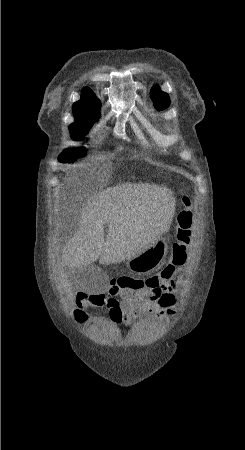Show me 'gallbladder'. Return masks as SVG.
Listing matches in <instances>:
<instances>
[{
    "mask_svg": "<svg viewBox=\"0 0 245 450\" xmlns=\"http://www.w3.org/2000/svg\"><path fill=\"white\" fill-rule=\"evenodd\" d=\"M79 273L83 276L84 273H85V270H83V269H76V270L72 271V274H74V275H77Z\"/></svg>",
    "mask_w": 245,
    "mask_h": 450,
    "instance_id": "gallbladder-1",
    "label": "gallbladder"
}]
</instances>
